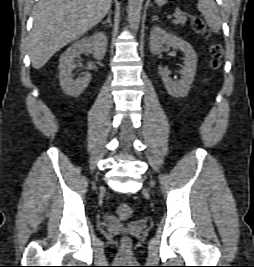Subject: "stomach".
I'll return each instance as SVG.
<instances>
[{
    "instance_id": "1",
    "label": "stomach",
    "mask_w": 254,
    "mask_h": 267,
    "mask_svg": "<svg viewBox=\"0 0 254 267\" xmlns=\"http://www.w3.org/2000/svg\"><path fill=\"white\" fill-rule=\"evenodd\" d=\"M154 2L157 5L162 6V5L166 4L168 2V0H154Z\"/></svg>"
}]
</instances>
